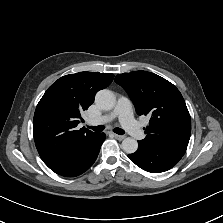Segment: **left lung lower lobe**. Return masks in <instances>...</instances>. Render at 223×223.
Listing matches in <instances>:
<instances>
[{"label": "left lung lower lobe", "mask_w": 223, "mask_h": 223, "mask_svg": "<svg viewBox=\"0 0 223 223\" xmlns=\"http://www.w3.org/2000/svg\"><path fill=\"white\" fill-rule=\"evenodd\" d=\"M129 159L145 171L152 173L164 172L175 166L182 156L159 150L138 141V149L128 155Z\"/></svg>", "instance_id": "left-lung-lower-lobe-1"}]
</instances>
